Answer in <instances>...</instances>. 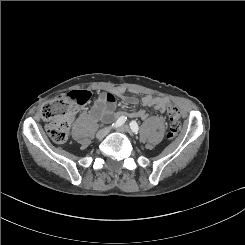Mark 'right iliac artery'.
<instances>
[{"label":"right iliac artery","mask_w":245,"mask_h":245,"mask_svg":"<svg viewBox=\"0 0 245 245\" xmlns=\"http://www.w3.org/2000/svg\"><path fill=\"white\" fill-rule=\"evenodd\" d=\"M125 121H126V117H125V116H121V117H119V118L116 120V122H114V123L112 124V126H113V127H119V126L123 125V124L125 123Z\"/></svg>","instance_id":"right-iliac-artery-1"}]
</instances>
